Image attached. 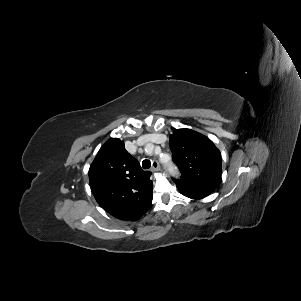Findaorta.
I'll return each mask as SVG.
<instances>
[{"instance_id": "1", "label": "aorta", "mask_w": 301, "mask_h": 301, "mask_svg": "<svg viewBox=\"0 0 301 301\" xmlns=\"http://www.w3.org/2000/svg\"><path fill=\"white\" fill-rule=\"evenodd\" d=\"M169 171H170L173 175L176 174V170H175L174 166H172V165H169Z\"/></svg>"}]
</instances>
